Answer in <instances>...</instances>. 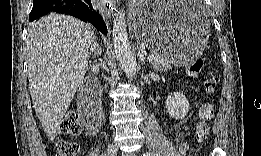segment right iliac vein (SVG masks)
Masks as SVG:
<instances>
[{"label":"right iliac vein","instance_id":"right-iliac-vein-1","mask_svg":"<svg viewBox=\"0 0 261 156\" xmlns=\"http://www.w3.org/2000/svg\"><path fill=\"white\" fill-rule=\"evenodd\" d=\"M107 154L109 156H114L117 154V147L115 145L109 144L107 147Z\"/></svg>","mask_w":261,"mask_h":156}]
</instances>
